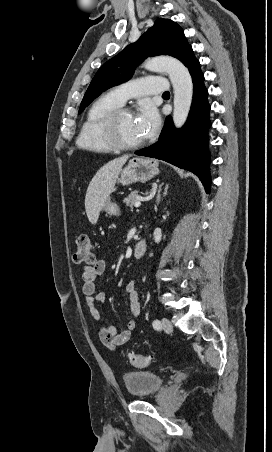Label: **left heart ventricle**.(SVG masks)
<instances>
[{
	"label": "left heart ventricle",
	"instance_id": "1",
	"mask_svg": "<svg viewBox=\"0 0 272 452\" xmlns=\"http://www.w3.org/2000/svg\"><path fill=\"white\" fill-rule=\"evenodd\" d=\"M119 136L126 142H137L143 139L139 122L133 114H124L118 123Z\"/></svg>",
	"mask_w": 272,
	"mask_h": 452
}]
</instances>
